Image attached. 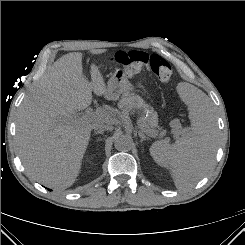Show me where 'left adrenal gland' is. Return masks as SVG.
<instances>
[{"label": "left adrenal gland", "mask_w": 245, "mask_h": 245, "mask_svg": "<svg viewBox=\"0 0 245 245\" xmlns=\"http://www.w3.org/2000/svg\"><path fill=\"white\" fill-rule=\"evenodd\" d=\"M138 135L141 138V140H140L141 143L145 140H150V138L146 137L142 131H138Z\"/></svg>", "instance_id": "1"}]
</instances>
